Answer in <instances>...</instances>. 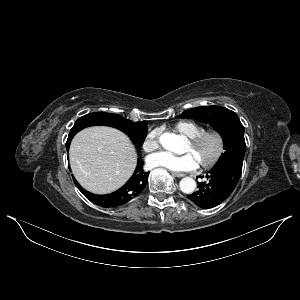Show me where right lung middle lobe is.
Returning <instances> with one entry per match:
<instances>
[{
  "label": "right lung middle lobe",
  "mask_w": 300,
  "mask_h": 300,
  "mask_svg": "<svg viewBox=\"0 0 300 300\" xmlns=\"http://www.w3.org/2000/svg\"><path fill=\"white\" fill-rule=\"evenodd\" d=\"M104 125L117 128L127 134L130 139L136 143L142 144L147 134V122H132L120 115L112 113L96 112L80 117L72 127L67 142L71 141L73 136L81 129L94 126Z\"/></svg>",
  "instance_id": "obj_1"
}]
</instances>
